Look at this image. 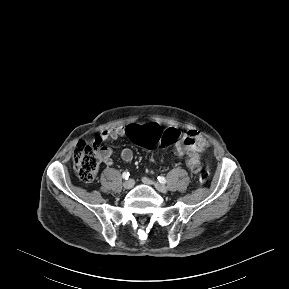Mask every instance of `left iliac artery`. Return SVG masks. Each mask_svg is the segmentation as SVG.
Here are the masks:
<instances>
[{"label":"left iliac artery","instance_id":"obj_1","mask_svg":"<svg viewBox=\"0 0 289 289\" xmlns=\"http://www.w3.org/2000/svg\"><path fill=\"white\" fill-rule=\"evenodd\" d=\"M158 181H159L160 183H162V184H165V183H166V179H165V177H163V176H159V177H158Z\"/></svg>","mask_w":289,"mask_h":289}]
</instances>
